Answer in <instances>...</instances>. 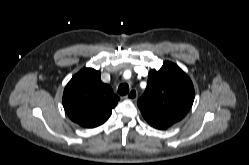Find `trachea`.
I'll return each instance as SVG.
<instances>
[{"label": "trachea", "mask_w": 249, "mask_h": 165, "mask_svg": "<svg viewBox=\"0 0 249 165\" xmlns=\"http://www.w3.org/2000/svg\"><path fill=\"white\" fill-rule=\"evenodd\" d=\"M128 92H129L128 84L124 83V84L119 85V87H118L119 95L124 96V95L128 94Z\"/></svg>", "instance_id": "3493384b"}]
</instances>
